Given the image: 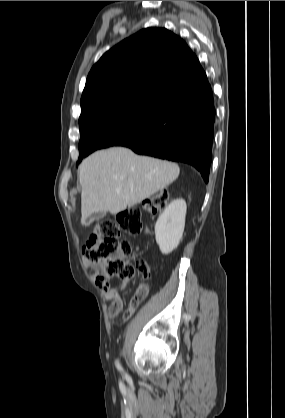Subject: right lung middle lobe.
<instances>
[{
	"instance_id": "1",
	"label": "right lung middle lobe",
	"mask_w": 285,
	"mask_h": 418,
	"mask_svg": "<svg viewBox=\"0 0 285 418\" xmlns=\"http://www.w3.org/2000/svg\"><path fill=\"white\" fill-rule=\"evenodd\" d=\"M165 108L159 103L138 100L109 105L80 119L79 162L95 150L115 146L143 130Z\"/></svg>"
}]
</instances>
